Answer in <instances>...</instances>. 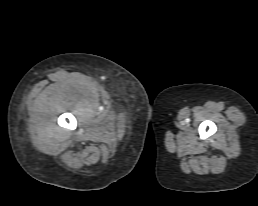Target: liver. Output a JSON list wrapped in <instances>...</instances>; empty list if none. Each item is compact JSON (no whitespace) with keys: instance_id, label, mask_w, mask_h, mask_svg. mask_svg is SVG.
<instances>
[{"instance_id":"obj_1","label":"liver","mask_w":258,"mask_h":206,"mask_svg":"<svg viewBox=\"0 0 258 206\" xmlns=\"http://www.w3.org/2000/svg\"><path fill=\"white\" fill-rule=\"evenodd\" d=\"M47 94V89L43 91V95H46Z\"/></svg>"}]
</instances>
